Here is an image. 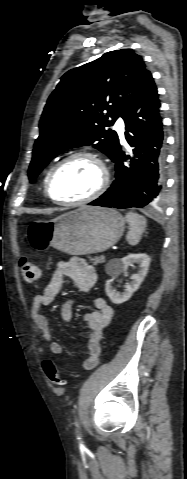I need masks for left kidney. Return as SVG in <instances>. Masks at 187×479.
Returning <instances> with one entry per match:
<instances>
[{
  "label": "left kidney",
  "mask_w": 187,
  "mask_h": 479,
  "mask_svg": "<svg viewBox=\"0 0 187 479\" xmlns=\"http://www.w3.org/2000/svg\"><path fill=\"white\" fill-rule=\"evenodd\" d=\"M134 263L139 265V270L136 274L131 275V282L126 284L124 292H116L112 285V279L106 281L105 292L112 303L122 304L130 299L133 293L139 288L148 272L150 257L147 254H129L123 258L111 259L106 264V273L114 278L126 271L128 267Z\"/></svg>",
  "instance_id": "obj_1"
}]
</instances>
